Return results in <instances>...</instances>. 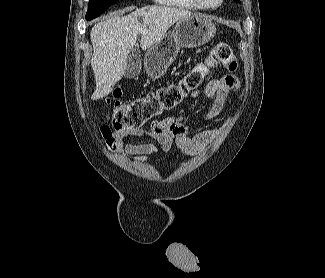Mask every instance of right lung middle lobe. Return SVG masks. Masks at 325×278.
I'll return each instance as SVG.
<instances>
[{"label": "right lung middle lobe", "instance_id": "right-lung-middle-lobe-1", "mask_svg": "<svg viewBox=\"0 0 325 278\" xmlns=\"http://www.w3.org/2000/svg\"><path fill=\"white\" fill-rule=\"evenodd\" d=\"M118 0H90L86 19L92 20L103 13L111 4Z\"/></svg>", "mask_w": 325, "mask_h": 278}]
</instances>
